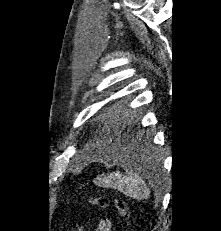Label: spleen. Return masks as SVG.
Wrapping results in <instances>:
<instances>
[{
  "label": "spleen",
  "instance_id": "spleen-1",
  "mask_svg": "<svg viewBox=\"0 0 221 231\" xmlns=\"http://www.w3.org/2000/svg\"><path fill=\"white\" fill-rule=\"evenodd\" d=\"M96 183L104 187L117 189L136 200L147 199L150 195V189L142 177L132 172L124 175L118 171L113 172L108 176L98 178Z\"/></svg>",
  "mask_w": 221,
  "mask_h": 231
}]
</instances>
